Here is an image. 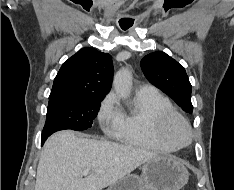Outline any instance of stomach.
<instances>
[{
    "label": "stomach",
    "instance_id": "stomach-1",
    "mask_svg": "<svg viewBox=\"0 0 234 190\" xmlns=\"http://www.w3.org/2000/svg\"><path fill=\"white\" fill-rule=\"evenodd\" d=\"M189 172L173 156H157L146 161L141 176L128 174L107 190H180L188 182Z\"/></svg>",
    "mask_w": 234,
    "mask_h": 190
}]
</instances>
